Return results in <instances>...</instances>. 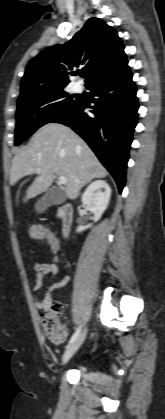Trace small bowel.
Here are the masks:
<instances>
[{"label": "small bowel", "mask_w": 165, "mask_h": 419, "mask_svg": "<svg viewBox=\"0 0 165 419\" xmlns=\"http://www.w3.org/2000/svg\"><path fill=\"white\" fill-rule=\"evenodd\" d=\"M33 269L35 271V283L33 286V291H38L42 288L44 280L47 276L55 275L59 272V266L54 262H35L33 265ZM69 280V275L66 272H64L60 280L52 283L48 287L47 292L43 298H35L36 308L41 311L46 310L51 301V293L57 289L65 287L68 284Z\"/></svg>", "instance_id": "1"}]
</instances>
